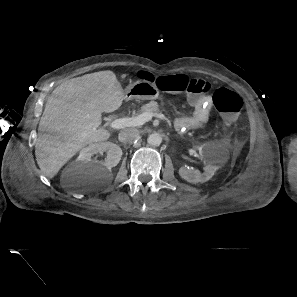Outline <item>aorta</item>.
<instances>
[{
	"label": "aorta",
	"instance_id": "762f6f07",
	"mask_svg": "<svg viewBox=\"0 0 297 297\" xmlns=\"http://www.w3.org/2000/svg\"><path fill=\"white\" fill-rule=\"evenodd\" d=\"M162 142V136L159 133H153L147 138V143L150 146H159Z\"/></svg>",
	"mask_w": 297,
	"mask_h": 297
}]
</instances>
